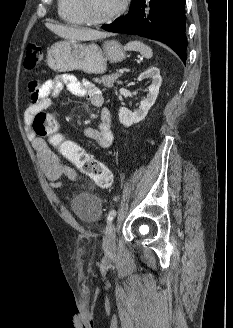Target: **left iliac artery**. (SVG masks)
I'll list each match as a JSON object with an SVG mask.
<instances>
[{
    "label": "left iliac artery",
    "mask_w": 233,
    "mask_h": 328,
    "mask_svg": "<svg viewBox=\"0 0 233 328\" xmlns=\"http://www.w3.org/2000/svg\"><path fill=\"white\" fill-rule=\"evenodd\" d=\"M116 216V210H111L107 216V220L111 222Z\"/></svg>",
    "instance_id": "obj_1"
}]
</instances>
